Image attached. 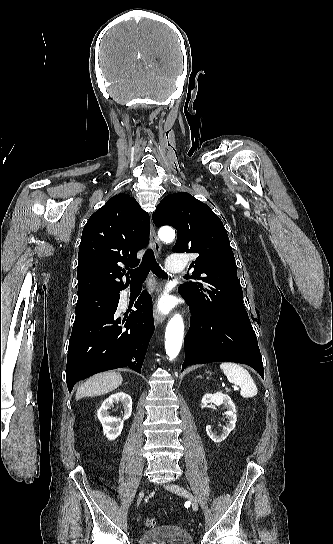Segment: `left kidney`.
Masks as SVG:
<instances>
[{
	"mask_svg": "<svg viewBox=\"0 0 333 544\" xmlns=\"http://www.w3.org/2000/svg\"><path fill=\"white\" fill-rule=\"evenodd\" d=\"M201 402L203 404L213 403L216 406L223 405L227 409L225 415L228 419V423L225 427H223L222 433L220 435H217L215 432H213L210 425L206 426V432L208 436L214 442L220 443L225 440L230 432L235 428V423L237 421L235 405L228 395L221 392H217L215 394H205Z\"/></svg>",
	"mask_w": 333,
	"mask_h": 544,
	"instance_id": "1",
	"label": "left kidney"
}]
</instances>
